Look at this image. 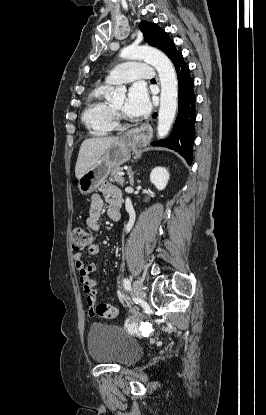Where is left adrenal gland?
I'll list each match as a JSON object with an SVG mask.
<instances>
[{"instance_id":"left-adrenal-gland-1","label":"left adrenal gland","mask_w":266,"mask_h":415,"mask_svg":"<svg viewBox=\"0 0 266 415\" xmlns=\"http://www.w3.org/2000/svg\"><path fill=\"white\" fill-rule=\"evenodd\" d=\"M127 175L129 178L130 185L133 186L134 185V172L132 171L131 167H129V169L127 170Z\"/></svg>"}]
</instances>
